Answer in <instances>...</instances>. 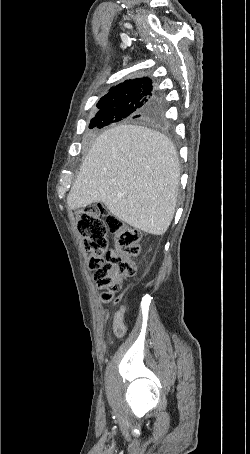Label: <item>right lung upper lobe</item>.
<instances>
[{
	"instance_id": "1",
	"label": "right lung upper lobe",
	"mask_w": 250,
	"mask_h": 454,
	"mask_svg": "<svg viewBox=\"0 0 250 454\" xmlns=\"http://www.w3.org/2000/svg\"><path fill=\"white\" fill-rule=\"evenodd\" d=\"M142 85H152L151 79L148 77H143V78H136L133 80H126L123 83H120L113 87L105 96H103L101 99L104 98H110L113 96H118L119 94L128 91L131 88L137 87V86H142Z\"/></svg>"
}]
</instances>
